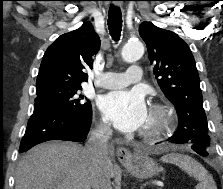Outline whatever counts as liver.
Here are the masks:
<instances>
[{
	"label": "liver",
	"instance_id": "liver-1",
	"mask_svg": "<svg viewBox=\"0 0 223 189\" xmlns=\"http://www.w3.org/2000/svg\"><path fill=\"white\" fill-rule=\"evenodd\" d=\"M90 168L91 160L80 144L42 143L19 162L15 189H91ZM108 172L110 177L114 176L111 160Z\"/></svg>",
	"mask_w": 223,
	"mask_h": 189
}]
</instances>
